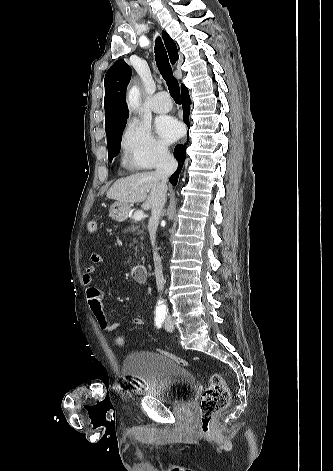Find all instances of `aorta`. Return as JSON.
<instances>
[{
    "instance_id": "1",
    "label": "aorta",
    "mask_w": 333,
    "mask_h": 471,
    "mask_svg": "<svg viewBox=\"0 0 333 471\" xmlns=\"http://www.w3.org/2000/svg\"><path fill=\"white\" fill-rule=\"evenodd\" d=\"M139 92L136 87H133L129 93V102L131 106L136 105L138 101Z\"/></svg>"
}]
</instances>
